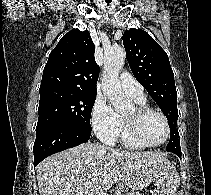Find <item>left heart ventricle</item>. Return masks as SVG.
Segmentation results:
<instances>
[{
  "instance_id": "1",
  "label": "left heart ventricle",
  "mask_w": 211,
  "mask_h": 195,
  "mask_svg": "<svg viewBox=\"0 0 211 195\" xmlns=\"http://www.w3.org/2000/svg\"><path fill=\"white\" fill-rule=\"evenodd\" d=\"M135 108L125 114L126 117H133ZM139 130L142 138L150 143H159L166 136V126L163 119L154 113L144 116L139 123Z\"/></svg>"
}]
</instances>
